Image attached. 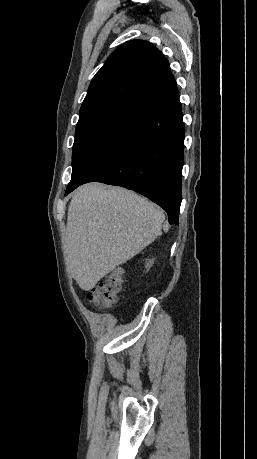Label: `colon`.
Returning a JSON list of instances; mask_svg holds the SVG:
<instances>
[{
    "label": "colon",
    "instance_id": "obj_1",
    "mask_svg": "<svg viewBox=\"0 0 257 459\" xmlns=\"http://www.w3.org/2000/svg\"><path fill=\"white\" fill-rule=\"evenodd\" d=\"M123 275L121 270L111 272L102 283L94 286L88 292L89 302L96 308L114 306L122 290Z\"/></svg>",
    "mask_w": 257,
    "mask_h": 459
}]
</instances>
